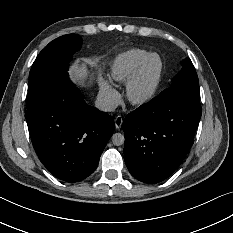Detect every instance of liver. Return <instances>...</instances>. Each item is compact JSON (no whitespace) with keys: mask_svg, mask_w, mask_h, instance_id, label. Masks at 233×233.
Wrapping results in <instances>:
<instances>
[{"mask_svg":"<svg viewBox=\"0 0 233 233\" xmlns=\"http://www.w3.org/2000/svg\"><path fill=\"white\" fill-rule=\"evenodd\" d=\"M69 74L73 81H79L82 85L88 78V69L86 63L79 64L77 60L70 68Z\"/></svg>","mask_w":233,"mask_h":233,"instance_id":"1","label":"liver"}]
</instances>
